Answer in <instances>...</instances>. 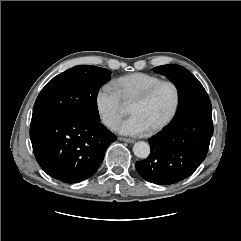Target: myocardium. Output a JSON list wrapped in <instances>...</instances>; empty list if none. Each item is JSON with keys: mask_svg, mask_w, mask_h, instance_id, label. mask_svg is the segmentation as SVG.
Masks as SVG:
<instances>
[{"mask_svg": "<svg viewBox=\"0 0 241 241\" xmlns=\"http://www.w3.org/2000/svg\"><path fill=\"white\" fill-rule=\"evenodd\" d=\"M164 85H168V86L172 87V89L174 90V93H175V101H174L173 108H172L170 114L167 116V118L163 122L158 124L157 126L149 129V132L152 134L158 133V132L164 130L167 126H169L172 123V121L176 117L179 107H180V103H181V92H180L179 86L174 81L161 80V81L155 83L154 85H152L151 87H149L147 90H145L142 94L137 96L131 102V104H143V103L147 102L157 92V90Z\"/></svg>", "mask_w": 241, "mask_h": 241, "instance_id": "obj_1", "label": "myocardium"}]
</instances>
